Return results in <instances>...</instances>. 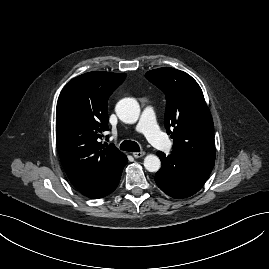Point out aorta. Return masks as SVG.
I'll list each match as a JSON object with an SVG mask.
<instances>
[{
  "instance_id": "762f6f07",
  "label": "aorta",
  "mask_w": 269,
  "mask_h": 269,
  "mask_svg": "<svg viewBox=\"0 0 269 269\" xmlns=\"http://www.w3.org/2000/svg\"><path fill=\"white\" fill-rule=\"evenodd\" d=\"M115 111L122 122L133 124L139 118L140 106L135 99L124 98L117 103ZM144 167L149 172H157L161 167V161L156 155L149 154L144 159Z\"/></svg>"
}]
</instances>
